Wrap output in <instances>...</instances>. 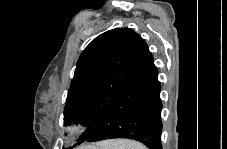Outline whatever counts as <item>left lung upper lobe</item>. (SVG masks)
I'll use <instances>...</instances> for the list:
<instances>
[{
  "label": "left lung upper lobe",
  "mask_w": 227,
  "mask_h": 149,
  "mask_svg": "<svg viewBox=\"0 0 227 149\" xmlns=\"http://www.w3.org/2000/svg\"><path fill=\"white\" fill-rule=\"evenodd\" d=\"M144 44L132 29H112L96 37L80 55L64 108L65 124L80 122L87 127L77 145L121 93Z\"/></svg>",
  "instance_id": "5c2ea615"
}]
</instances>
